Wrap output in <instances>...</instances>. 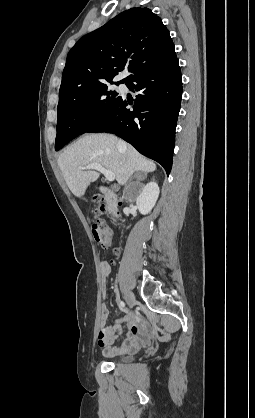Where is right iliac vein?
<instances>
[{"label": "right iliac vein", "mask_w": 255, "mask_h": 418, "mask_svg": "<svg viewBox=\"0 0 255 418\" xmlns=\"http://www.w3.org/2000/svg\"><path fill=\"white\" fill-rule=\"evenodd\" d=\"M126 302L129 305L130 308H132L135 305V297L132 293L127 292L125 294Z\"/></svg>", "instance_id": "obj_1"}]
</instances>
